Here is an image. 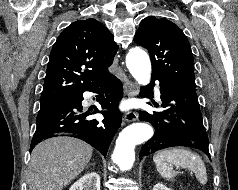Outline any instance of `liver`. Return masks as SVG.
Segmentation results:
<instances>
[{"label":"liver","instance_id":"obj_1","mask_svg":"<svg viewBox=\"0 0 238 190\" xmlns=\"http://www.w3.org/2000/svg\"><path fill=\"white\" fill-rule=\"evenodd\" d=\"M92 152L89 144L74 137H53L39 143L31 153L29 190H62L81 174Z\"/></svg>","mask_w":238,"mask_h":190}]
</instances>
